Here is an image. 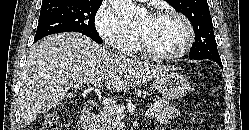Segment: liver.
<instances>
[{
	"instance_id": "liver-1",
	"label": "liver",
	"mask_w": 249,
	"mask_h": 130,
	"mask_svg": "<svg viewBox=\"0 0 249 130\" xmlns=\"http://www.w3.org/2000/svg\"><path fill=\"white\" fill-rule=\"evenodd\" d=\"M171 67L129 59L80 33H60L34 44L21 76L18 97L21 125L58 105L69 90L105 80L109 90L126 92Z\"/></svg>"
}]
</instances>
